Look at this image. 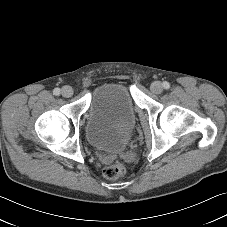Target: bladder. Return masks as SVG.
<instances>
[{
  "mask_svg": "<svg viewBox=\"0 0 227 227\" xmlns=\"http://www.w3.org/2000/svg\"><path fill=\"white\" fill-rule=\"evenodd\" d=\"M136 124L131 93L120 82L97 86L90 95L85 135L98 150L117 153L126 148Z\"/></svg>",
  "mask_w": 227,
  "mask_h": 227,
  "instance_id": "bladder-1",
  "label": "bladder"
}]
</instances>
